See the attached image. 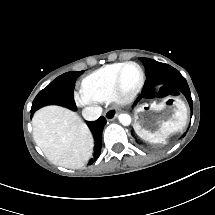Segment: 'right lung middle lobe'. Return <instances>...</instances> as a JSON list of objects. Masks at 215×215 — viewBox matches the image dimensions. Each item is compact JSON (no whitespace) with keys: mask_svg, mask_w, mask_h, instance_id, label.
Instances as JSON below:
<instances>
[{"mask_svg":"<svg viewBox=\"0 0 215 215\" xmlns=\"http://www.w3.org/2000/svg\"><path fill=\"white\" fill-rule=\"evenodd\" d=\"M83 71L67 72L53 80L45 89L35 97L31 114L48 104H60L71 109H76L73 98L74 83Z\"/></svg>","mask_w":215,"mask_h":215,"instance_id":"obj_1","label":"right lung middle lobe"}]
</instances>
